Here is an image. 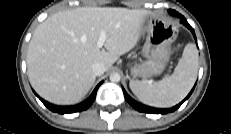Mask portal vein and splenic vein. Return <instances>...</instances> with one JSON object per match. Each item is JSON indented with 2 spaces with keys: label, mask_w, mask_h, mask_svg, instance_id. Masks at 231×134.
<instances>
[{
  "label": "portal vein and splenic vein",
  "mask_w": 231,
  "mask_h": 134,
  "mask_svg": "<svg viewBox=\"0 0 231 134\" xmlns=\"http://www.w3.org/2000/svg\"><path fill=\"white\" fill-rule=\"evenodd\" d=\"M105 41H106V34H105L104 31H101L100 32V37H99L98 42H97L98 48H102V46L104 45Z\"/></svg>",
  "instance_id": "18ae733b"
}]
</instances>
